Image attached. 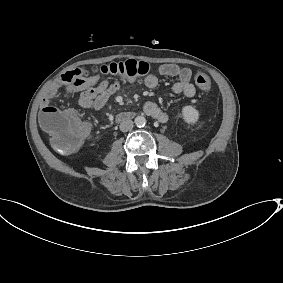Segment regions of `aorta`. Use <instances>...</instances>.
Instances as JSON below:
<instances>
[{
	"instance_id": "obj_1",
	"label": "aorta",
	"mask_w": 283,
	"mask_h": 283,
	"mask_svg": "<svg viewBox=\"0 0 283 283\" xmlns=\"http://www.w3.org/2000/svg\"><path fill=\"white\" fill-rule=\"evenodd\" d=\"M134 122L137 127H144L146 124V119L143 116H137Z\"/></svg>"
}]
</instances>
